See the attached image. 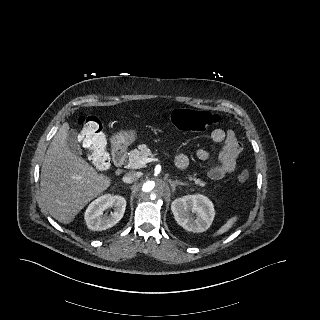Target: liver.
<instances>
[{
  "label": "liver",
  "mask_w": 320,
  "mask_h": 320,
  "mask_svg": "<svg viewBox=\"0 0 320 320\" xmlns=\"http://www.w3.org/2000/svg\"><path fill=\"white\" fill-rule=\"evenodd\" d=\"M69 124L64 123L53 137L46 152L40 175L42 201L58 222L69 224L111 180L73 153L66 139Z\"/></svg>",
  "instance_id": "6515ba94"
}]
</instances>
